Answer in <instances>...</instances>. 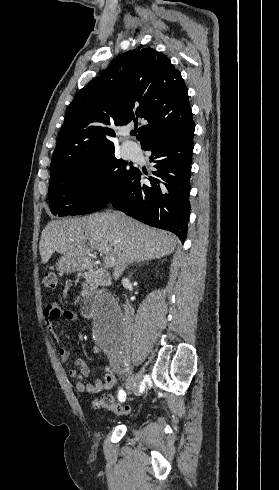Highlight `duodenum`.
<instances>
[{
  "instance_id": "duodenum-1",
  "label": "duodenum",
  "mask_w": 279,
  "mask_h": 490,
  "mask_svg": "<svg viewBox=\"0 0 279 490\" xmlns=\"http://www.w3.org/2000/svg\"><path fill=\"white\" fill-rule=\"evenodd\" d=\"M81 313L90 318L94 313V299L91 295L85 296L81 301Z\"/></svg>"
}]
</instances>
